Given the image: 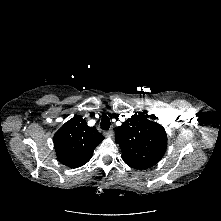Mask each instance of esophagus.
<instances>
[{"instance_id": "34e87169", "label": "esophagus", "mask_w": 221, "mask_h": 221, "mask_svg": "<svg viewBox=\"0 0 221 221\" xmlns=\"http://www.w3.org/2000/svg\"><path fill=\"white\" fill-rule=\"evenodd\" d=\"M113 133H114L113 130H108V131H105V132H104V134H105L106 137H112V136H113Z\"/></svg>"}]
</instances>
